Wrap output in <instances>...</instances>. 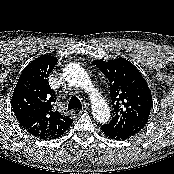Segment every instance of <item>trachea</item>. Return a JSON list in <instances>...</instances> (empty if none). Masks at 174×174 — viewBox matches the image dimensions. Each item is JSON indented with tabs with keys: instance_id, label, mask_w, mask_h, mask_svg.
<instances>
[{
	"instance_id": "trachea-1",
	"label": "trachea",
	"mask_w": 174,
	"mask_h": 174,
	"mask_svg": "<svg viewBox=\"0 0 174 174\" xmlns=\"http://www.w3.org/2000/svg\"><path fill=\"white\" fill-rule=\"evenodd\" d=\"M81 108H82V103L76 96H73L68 103V110L81 109Z\"/></svg>"
}]
</instances>
